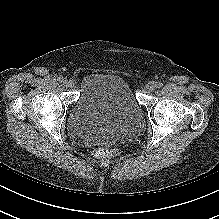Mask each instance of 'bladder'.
Listing matches in <instances>:
<instances>
[{
	"label": "bladder",
	"instance_id": "bladder-1",
	"mask_svg": "<svg viewBox=\"0 0 219 219\" xmlns=\"http://www.w3.org/2000/svg\"><path fill=\"white\" fill-rule=\"evenodd\" d=\"M144 120L143 107L124 78L90 73L82 80L66 124L73 138L106 143L139 132Z\"/></svg>",
	"mask_w": 219,
	"mask_h": 219
}]
</instances>
